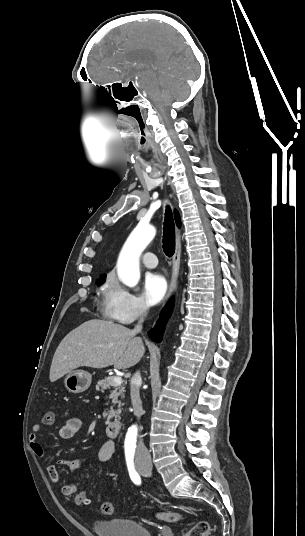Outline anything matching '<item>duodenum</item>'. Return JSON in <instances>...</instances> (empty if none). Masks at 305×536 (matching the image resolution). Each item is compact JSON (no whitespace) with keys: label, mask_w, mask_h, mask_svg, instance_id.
I'll return each mask as SVG.
<instances>
[{"label":"duodenum","mask_w":305,"mask_h":536,"mask_svg":"<svg viewBox=\"0 0 305 536\" xmlns=\"http://www.w3.org/2000/svg\"><path fill=\"white\" fill-rule=\"evenodd\" d=\"M105 432L110 437H116L122 432V425L120 422H111L106 425Z\"/></svg>","instance_id":"obj_1"}]
</instances>
